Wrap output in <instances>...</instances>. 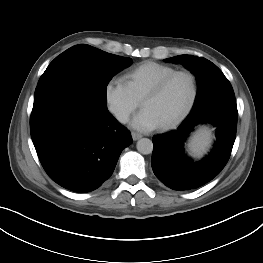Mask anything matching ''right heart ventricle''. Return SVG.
<instances>
[{
    "label": "right heart ventricle",
    "instance_id": "e07e8e85",
    "mask_svg": "<svg viewBox=\"0 0 263 263\" xmlns=\"http://www.w3.org/2000/svg\"><path fill=\"white\" fill-rule=\"evenodd\" d=\"M174 71L176 69L169 65L147 61L126 71L122 79L133 96L141 101L160 79Z\"/></svg>",
    "mask_w": 263,
    "mask_h": 263
}]
</instances>
